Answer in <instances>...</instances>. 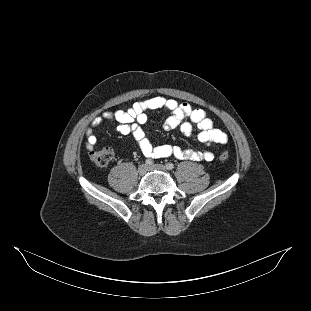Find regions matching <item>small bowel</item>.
I'll use <instances>...</instances> for the list:
<instances>
[{
	"label": "small bowel",
	"mask_w": 311,
	"mask_h": 311,
	"mask_svg": "<svg viewBox=\"0 0 311 311\" xmlns=\"http://www.w3.org/2000/svg\"><path fill=\"white\" fill-rule=\"evenodd\" d=\"M165 109L170 115L164 123L166 130L179 128L185 135H190L196 126L200 132L198 139L204 145L224 144L227 142V134L214 127L212 120L203 109L192 108L187 103H178L174 99L164 97H152L135 102L126 110L105 112L95 117L91 125L86 129L85 144L92 150L97 143L95 129L105 121H115L117 131L123 135H131L134 142L148 159L176 157L182 160L211 161L214 154L211 151H195L182 149L173 145L153 146L147 138L142 125L147 121V112Z\"/></svg>",
	"instance_id": "1"
}]
</instances>
